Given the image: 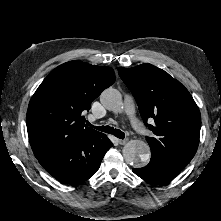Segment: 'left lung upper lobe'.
I'll list each match as a JSON object with an SVG mask.
<instances>
[{"instance_id":"obj_1","label":"left lung upper lobe","mask_w":221,"mask_h":221,"mask_svg":"<svg viewBox=\"0 0 221 221\" xmlns=\"http://www.w3.org/2000/svg\"><path fill=\"white\" fill-rule=\"evenodd\" d=\"M143 119L153 132L146 137L151 157L183 169L194 157L200 137V111L188 90L164 70L142 64L119 67ZM154 119V124H148Z\"/></svg>"}]
</instances>
